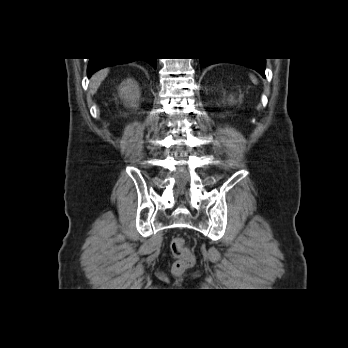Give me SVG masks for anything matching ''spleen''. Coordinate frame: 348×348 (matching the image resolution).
I'll list each match as a JSON object with an SVG mask.
<instances>
[{
	"label": "spleen",
	"instance_id": "1",
	"mask_svg": "<svg viewBox=\"0 0 348 348\" xmlns=\"http://www.w3.org/2000/svg\"><path fill=\"white\" fill-rule=\"evenodd\" d=\"M250 79L254 84H257V79L254 75H250Z\"/></svg>",
	"mask_w": 348,
	"mask_h": 348
}]
</instances>
